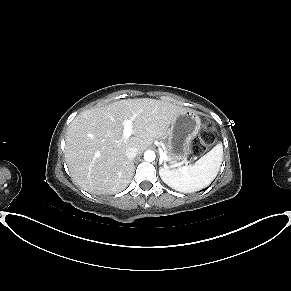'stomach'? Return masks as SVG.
Instances as JSON below:
<instances>
[{
    "label": "stomach",
    "mask_w": 291,
    "mask_h": 291,
    "mask_svg": "<svg viewBox=\"0 0 291 291\" xmlns=\"http://www.w3.org/2000/svg\"><path fill=\"white\" fill-rule=\"evenodd\" d=\"M201 119L194 111L179 114L172 122L165 149L168 162L180 164L190 153L192 139L198 134Z\"/></svg>",
    "instance_id": "stomach-1"
}]
</instances>
